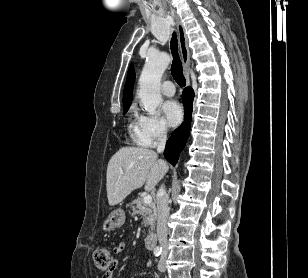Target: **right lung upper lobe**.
<instances>
[{"label":"right lung upper lobe","mask_w":308,"mask_h":278,"mask_svg":"<svg viewBox=\"0 0 308 278\" xmlns=\"http://www.w3.org/2000/svg\"><path fill=\"white\" fill-rule=\"evenodd\" d=\"M134 78H135V72L133 69V66L131 65L128 70L127 80L124 87V96H123V102H130L132 100L133 96V84H134Z\"/></svg>","instance_id":"cb5924a9"}]
</instances>
